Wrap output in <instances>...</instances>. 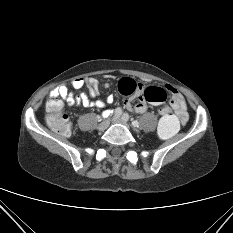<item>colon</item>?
Segmentation results:
<instances>
[{
  "label": "colon",
  "mask_w": 233,
  "mask_h": 233,
  "mask_svg": "<svg viewBox=\"0 0 233 233\" xmlns=\"http://www.w3.org/2000/svg\"><path fill=\"white\" fill-rule=\"evenodd\" d=\"M118 89L123 95H135L152 104H163L168 98L167 91L160 87L144 88L140 83L133 79H122ZM161 119L158 125V135L163 140L173 138L180 127L181 120L172 113L167 107L160 110ZM46 123L57 134L68 136L71 132V124L67 116L63 113L62 103L57 98H52L46 106Z\"/></svg>",
  "instance_id": "obj_1"
}]
</instances>
